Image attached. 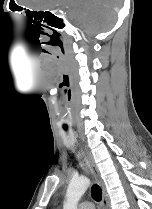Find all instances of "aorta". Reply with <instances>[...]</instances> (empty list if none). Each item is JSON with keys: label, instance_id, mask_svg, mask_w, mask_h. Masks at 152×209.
Segmentation results:
<instances>
[{"label": "aorta", "instance_id": "1", "mask_svg": "<svg viewBox=\"0 0 152 209\" xmlns=\"http://www.w3.org/2000/svg\"><path fill=\"white\" fill-rule=\"evenodd\" d=\"M89 185L90 180L86 177L72 179L67 187L63 209H77L78 203Z\"/></svg>", "mask_w": 152, "mask_h": 209}]
</instances>
